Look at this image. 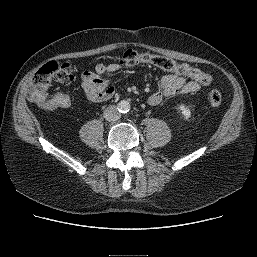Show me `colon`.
<instances>
[{"label": "colon", "mask_w": 257, "mask_h": 257, "mask_svg": "<svg viewBox=\"0 0 257 257\" xmlns=\"http://www.w3.org/2000/svg\"><path fill=\"white\" fill-rule=\"evenodd\" d=\"M121 63L125 66L149 63L162 70L194 79L203 86L210 85L213 81V77L201 69L185 63H177L160 55L127 50L121 57ZM73 79V67L69 62H48L35 72L26 90V95L30 101L49 110L67 107L71 101L68 95L57 94L49 97L47 91L54 81L69 84ZM207 100L212 107H218L222 103V95L217 89H211L207 93Z\"/></svg>", "instance_id": "5ec220e1"}]
</instances>
